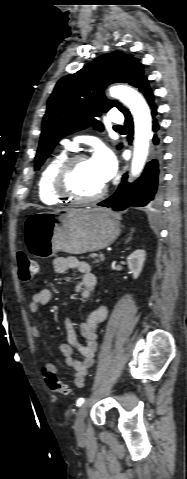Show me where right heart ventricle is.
I'll use <instances>...</instances> for the list:
<instances>
[{
  "instance_id": "obj_1",
  "label": "right heart ventricle",
  "mask_w": 187,
  "mask_h": 479,
  "mask_svg": "<svg viewBox=\"0 0 187 479\" xmlns=\"http://www.w3.org/2000/svg\"><path fill=\"white\" fill-rule=\"evenodd\" d=\"M68 156L69 149H61L49 159L41 171L38 180V196L44 204L57 205L66 200L55 192L53 181L57 169Z\"/></svg>"
}]
</instances>
